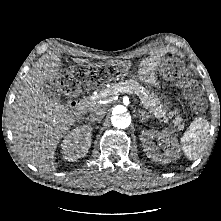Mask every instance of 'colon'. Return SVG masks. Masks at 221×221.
Here are the masks:
<instances>
[{
    "mask_svg": "<svg viewBox=\"0 0 221 221\" xmlns=\"http://www.w3.org/2000/svg\"><path fill=\"white\" fill-rule=\"evenodd\" d=\"M114 73L115 69L111 66L99 68L74 66L63 71L58 77V82L63 91L72 97L78 95L89 83L104 81ZM162 75L175 80L194 112H202L206 108L201 85L183 66L166 64L162 69Z\"/></svg>",
    "mask_w": 221,
    "mask_h": 221,
    "instance_id": "1",
    "label": "colon"
}]
</instances>
